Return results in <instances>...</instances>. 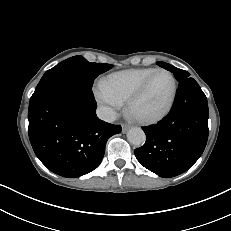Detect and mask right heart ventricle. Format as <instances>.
Here are the masks:
<instances>
[{
	"instance_id": "1",
	"label": "right heart ventricle",
	"mask_w": 231,
	"mask_h": 231,
	"mask_svg": "<svg viewBox=\"0 0 231 231\" xmlns=\"http://www.w3.org/2000/svg\"><path fill=\"white\" fill-rule=\"evenodd\" d=\"M155 68H135L112 73L100 83V89L123 103L155 71Z\"/></svg>"
}]
</instances>
